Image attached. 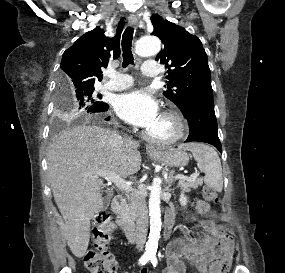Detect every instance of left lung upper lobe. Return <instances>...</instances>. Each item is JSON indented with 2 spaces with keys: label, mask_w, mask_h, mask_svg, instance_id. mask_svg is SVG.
I'll use <instances>...</instances> for the list:
<instances>
[{
  "label": "left lung upper lobe",
  "mask_w": 285,
  "mask_h": 273,
  "mask_svg": "<svg viewBox=\"0 0 285 273\" xmlns=\"http://www.w3.org/2000/svg\"><path fill=\"white\" fill-rule=\"evenodd\" d=\"M151 22L152 35L158 36L164 44L156 60L168 68L169 81L163 95L181 110L214 104L207 54L199 38L157 14L151 16Z\"/></svg>",
  "instance_id": "obj_1"
}]
</instances>
